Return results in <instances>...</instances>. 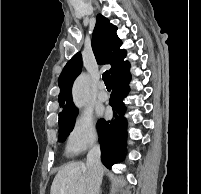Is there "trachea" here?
Listing matches in <instances>:
<instances>
[{"instance_id": "3493384b", "label": "trachea", "mask_w": 201, "mask_h": 194, "mask_svg": "<svg viewBox=\"0 0 201 194\" xmlns=\"http://www.w3.org/2000/svg\"><path fill=\"white\" fill-rule=\"evenodd\" d=\"M104 83H105V86L107 89H111V79H110V73L109 71H105L103 73V77H102Z\"/></svg>"}]
</instances>
